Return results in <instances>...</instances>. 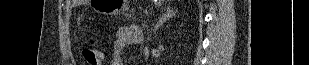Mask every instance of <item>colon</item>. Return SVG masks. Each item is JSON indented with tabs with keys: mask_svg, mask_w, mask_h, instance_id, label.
I'll return each mask as SVG.
<instances>
[{
	"mask_svg": "<svg viewBox=\"0 0 309 65\" xmlns=\"http://www.w3.org/2000/svg\"><path fill=\"white\" fill-rule=\"evenodd\" d=\"M82 55L89 65H102L103 55L97 47V38L92 37L90 45L83 48Z\"/></svg>",
	"mask_w": 309,
	"mask_h": 65,
	"instance_id": "obj_1",
	"label": "colon"
}]
</instances>
